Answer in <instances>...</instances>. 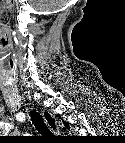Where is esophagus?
<instances>
[{
    "mask_svg": "<svg viewBox=\"0 0 125 143\" xmlns=\"http://www.w3.org/2000/svg\"><path fill=\"white\" fill-rule=\"evenodd\" d=\"M42 117L46 125L50 129V131H52L53 133H56L59 130L57 120L55 119V116L52 113H50L49 111L43 110Z\"/></svg>",
    "mask_w": 125,
    "mask_h": 143,
    "instance_id": "esophagus-1",
    "label": "esophagus"
}]
</instances>
